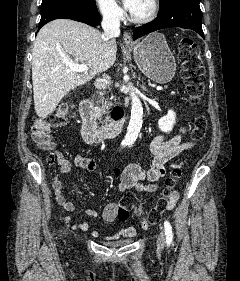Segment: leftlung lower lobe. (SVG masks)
Masks as SVG:
<instances>
[{
  "instance_id": "1",
  "label": "left lung lower lobe",
  "mask_w": 240,
  "mask_h": 281,
  "mask_svg": "<svg viewBox=\"0 0 240 281\" xmlns=\"http://www.w3.org/2000/svg\"><path fill=\"white\" fill-rule=\"evenodd\" d=\"M200 0H169L162 6L155 20L138 27L133 33V39H137L150 32L169 28L182 27L192 29L204 37L202 30Z\"/></svg>"
}]
</instances>
